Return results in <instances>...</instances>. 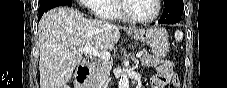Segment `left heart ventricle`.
<instances>
[{
    "label": "left heart ventricle",
    "instance_id": "obj_1",
    "mask_svg": "<svg viewBox=\"0 0 227 88\" xmlns=\"http://www.w3.org/2000/svg\"><path fill=\"white\" fill-rule=\"evenodd\" d=\"M127 10L133 17L148 18L155 14L154 0H132L127 3Z\"/></svg>",
    "mask_w": 227,
    "mask_h": 88
}]
</instances>
